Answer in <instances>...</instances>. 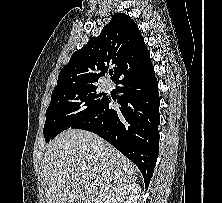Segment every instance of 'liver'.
<instances>
[{
    "instance_id": "obj_1",
    "label": "liver",
    "mask_w": 222,
    "mask_h": 203,
    "mask_svg": "<svg viewBox=\"0 0 222 203\" xmlns=\"http://www.w3.org/2000/svg\"><path fill=\"white\" fill-rule=\"evenodd\" d=\"M42 168L46 203H103L138 177L116 148L80 129H68L47 145Z\"/></svg>"
}]
</instances>
